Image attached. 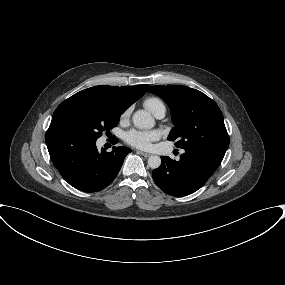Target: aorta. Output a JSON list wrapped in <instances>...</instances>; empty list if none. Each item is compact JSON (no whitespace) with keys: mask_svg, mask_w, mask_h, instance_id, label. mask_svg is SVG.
<instances>
[{"mask_svg":"<svg viewBox=\"0 0 285 285\" xmlns=\"http://www.w3.org/2000/svg\"><path fill=\"white\" fill-rule=\"evenodd\" d=\"M133 124L139 129H151L155 125V120L151 114L145 110H138L132 116ZM148 165L152 169H156L161 165V158L157 155H151L148 158Z\"/></svg>","mask_w":285,"mask_h":285,"instance_id":"obj_1","label":"aorta"}]
</instances>
